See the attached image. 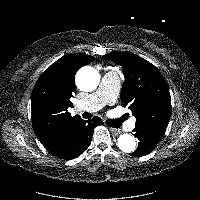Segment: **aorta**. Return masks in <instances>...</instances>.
Instances as JSON below:
<instances>
[{
	"label": "aorta",
	"mask_w": 200,
	"mask_h": 200,
	"mask_svg": "<svg viewBox=\"0 0 200 200\" xmlns=\"http://www.w3.org/2000/svg\"><path fill=\"white\" fill-rule=\"evenodd\" d=\"M100 76L98 71L90 66L82 67L76 75V84L78 88L85 92L95 90L99 84ZM117 145L125 153H130L136 148V140L129 134H122L118 138Z\"/></svg>",
	"instance_id": "1"
}]
</instances>
